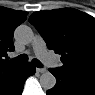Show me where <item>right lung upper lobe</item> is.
I'll list each match as a JSON object with an SVG mask.
<instances>
[{
	"label": "right lung upper lobe",
	"instance_id": "right-lung-upper-lobe-1",
	"mask_svg": "<svg viewBox=\"0 0 95 95\" xmlns=\"http://www.w3.org/2000/svg\"><path fill=\"white\" fill-rule=\"evenodd\" d=\"M27 12L0 7V88L7 86L21 72L24 64L4 59L14 50L13 34L17 26L27 19Z\"/></svg>",
	"mask_w": 95,
	"mask_h": 95
}]
</instances>
